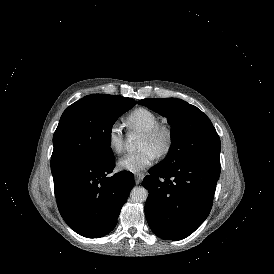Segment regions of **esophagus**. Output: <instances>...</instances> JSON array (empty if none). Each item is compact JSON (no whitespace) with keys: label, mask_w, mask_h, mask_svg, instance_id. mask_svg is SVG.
Instances as JSON below:
<instances>
[{"label":"esophagus","mask_w":274,"mask_h":274,"mask_svg":"<svg viewBox=\"0 0 274 274\" xmlns=\"http://www.w3.org/2000/svg\"><path fill=\"white\" fill-rule=\"evenodd\" d=\"M144 177H145L144 173H136L134 175L136 184H140L142 182V180H143Z\"/></svg>","instance_id":"esophagus-1"}]
</instances>
